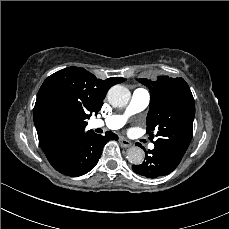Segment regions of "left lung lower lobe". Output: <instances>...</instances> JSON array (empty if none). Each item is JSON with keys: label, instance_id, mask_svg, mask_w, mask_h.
<instances>
[{"label": "left lung lower lobe", "instance_id": "obj_1", "mask_svg": "<svg viewBox=\"0 0 229 229\" xmlns=\"http://www.w3.org/2000/svg\"><path fill=\"white\" fill-rule=\"evenodd\" d=\"M138 144V143H137ZM179 163L172 161L163 148L155 146L145 154V161L141 165H133L135 173L147 178H157L171 173Z\"/></svg>", "mask_w": 229, "mask_h": 229}]
</instances>
